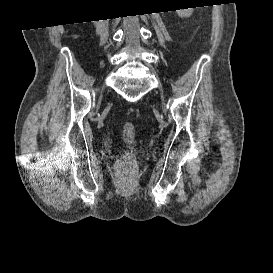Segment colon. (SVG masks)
Here are the masks:
<instances>
[{
    "mask_svg": "<svg viewBox=\"0 0 273 273\" xmlns=\"http://www.w3.org/2000/svg\"><path fill=\"white\" fill-rule=\"evenodd\" d=\"M123 139L128 144L131 145L135 139V126L131 122H127L123 125ZM134 167L133 163V153L128 151L119 165V172L126 173Z\"/></svg>",
    "mask_w": 273,
    "mask_h": 273,
    "instance_id": "obj_1",
    "label": "colon"
}]
</instances>
